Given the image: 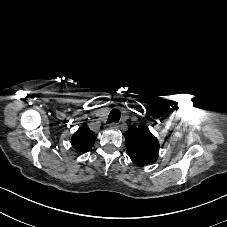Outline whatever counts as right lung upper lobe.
Segmentation results:
<instances>
[{"label": "right lung upper lobe", "instance_id": "cb5924a9", "mask_svg": "<svg viewBox=\"0 0 227 227\" xmlns=\"http://www.w3.org/2000/svg\"><path fill=\"white\" fill-rule=\"evenodd\" d=\"M95 139L96 135L84 124L72 136L71 144L76 151L84 153L92 148Z\"/></svg>", "mask_w": 227, "mask_h": 227}]
</instances>
